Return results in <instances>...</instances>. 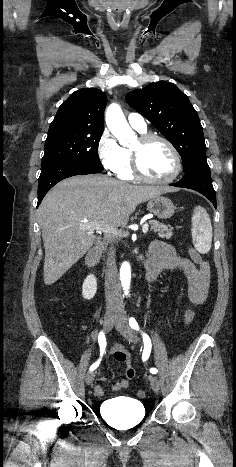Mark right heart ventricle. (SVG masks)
Masks as SVG:
<instances>
[{"mask_svg":"<svg viewBox=\"0 0 236 467\" xmlns=\"http://www.w3.org/2000/svg\"><path fill=\"white\" fill-rule=\"evenodd\" d=\"M145 133V132H141ZM125 154H126V161L124 166L118 170L116 173L119 178L123 180H132L134 178V173L132 170V153L131 149L125 148Z\"/></svg>","mask_w":236,"mask_h":467,"instance_id":"e07e8e85","label":"right heart ventricle"}]
</instances>
